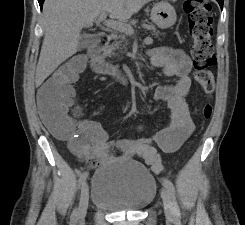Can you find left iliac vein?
I'll list each match as a JSON object with an SVG mask.
<instances>
[{
    "label": "left iliac vein",
    "mask_w": 245,
    "mask_h": 225,
    "mask_svg": "<svg viewBox=\"0 0 245 225\" xmlns=\"http://www.w3.org/2000/svg\"><path fill=\"white\" fill-rule=\"evenodd\" d=\"M162 200H163L165 216L167 220L172 221L174 218L173 203L169 192L165 188L162 189Z\"/></svg>",
    "instance_id": "obj_1"
}]
</instances>
